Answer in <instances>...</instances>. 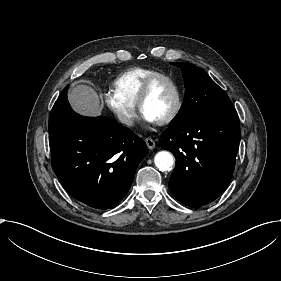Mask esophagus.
Instances as JSON below:
<instances>
[{
	"instance_id": "esophagus-1",
	"label": "esophagus",
	"mask_w": 281,
	"mask_h": 281,
	"mask_svg": "<svg viewBox=\"0 0 281 281\" xmlns=\"http://www.w3.org/2000/svg\"><path fill=\"white\" fill-rule=\"evenodd\" d=\"M146 145L148 146L149 149H154L155 147V142L151 138H146L145 139Z\"/></svg>"
}]
</instances>
